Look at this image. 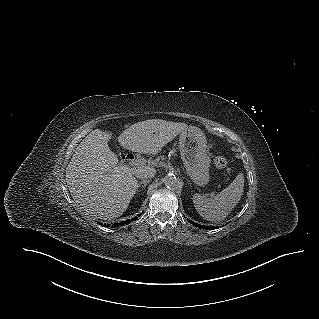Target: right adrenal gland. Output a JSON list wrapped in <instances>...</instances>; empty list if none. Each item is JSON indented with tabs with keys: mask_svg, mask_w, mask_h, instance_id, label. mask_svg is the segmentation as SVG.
Masks as SVG:
<instances>
[{
	"mask_svg": "<svg viewBox=\"0 0 319 319\" xmlns=\"http://www.w3.org/2000/svg\"><path fill=\"white\" fill-rule=\"evenodd\" d=\"M149 182H150L149 180H142L141 182L138 183L137 188L139 189L141 185H143L142 188H145Z\"/></svg>",
	"mask_w": 319,
	"mask_h": 319,
	"instance_id": "obj_1",
	"label": "right adrenal gland"
}]
</instances>
